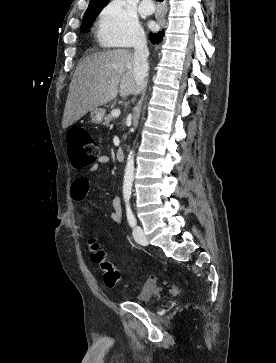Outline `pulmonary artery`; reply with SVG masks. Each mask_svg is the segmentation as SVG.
<instances>
[{
	"label": "pulmonary artery",
	"mask_w": 276,
	"mask_h": 363,
	"mask_svg": "<svg viewBox=\"0 0 276 363\" xmlns=\"http://www.w3.org/2000/svg\"><path fill=\"white\" fill-rule=\"evenodd\" d=\"M140 8L144 14H152L154 12V5L149 0H143Z\"/></svg>",
	"instance_id": "obj_1"
}]
</instances>
